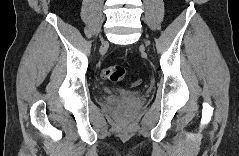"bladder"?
<instances>
[{"label":"bladder","mask_w":239,"mask_h":156,"mask_svg":"<svg viewBox=\"0 0 239 156\" xmlns=\"http://www.w3.org/2000/svg\"><path fill=\"white\" fill-rule=\"evenodd\" d=\"M108 92H109L108 90H103V91H101L102 94L108 93Z\"/></svg>","instance_id":"obj_1"}]
</instances>
